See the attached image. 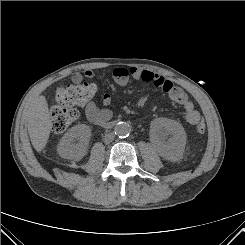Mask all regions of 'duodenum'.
Returning <instances> with one entry per match:
<instances>
[{"label":"duodenum","instance_id":"duodenum-1","mask_svg":"<svg viewBox=\"0 0 245 245\" xmlns=\"http://www.w3.org/2000/svg\"><path fill=\"white\" fill-rule=\"evenodd\" d=\"M113 125H114V123L108 122V123L105 124V127H111Z\"/></svg>","mask_w":245,"mask_h":245}]
</instances>
